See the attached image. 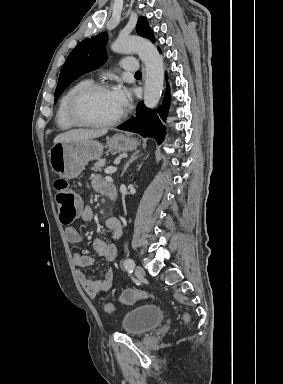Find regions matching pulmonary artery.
<instances>
[{"mask_svg":"<svg viewBox=\"0 0 283 384\" xmlns=\"http://www.w3.org/2000/svg\"><path fill=\"white\" fill-rule=\"evenodd\" d=\"M137 64L135 61H123L122 70L123 71H137Z\"/></svg>","mask_w":283,"mask_h":384,"instance_id":"obj_1","label":"pulmonary artery"}]
</instances>
